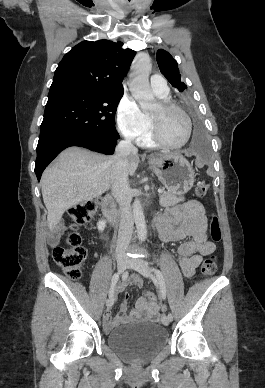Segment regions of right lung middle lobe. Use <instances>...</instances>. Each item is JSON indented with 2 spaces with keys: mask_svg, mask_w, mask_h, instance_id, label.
<instances>
[{
  "mask_svg": "<svg viewBox=\"0 0 265 388\" xmlns=\"http://www.w3.org/2000/svg\"><path fill=\"white\" fill-rule=\"evenodd\" d=\"M124 91H63L48 95L40 136L56 130L76 129L117 140L115 113Z\"/></svg>",
  "mask_w": 265,
  "mask_h": 388,
  "instance_id": "1",
  "label": "right lung middle lobe"
}]
</instances>
